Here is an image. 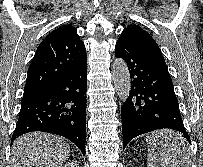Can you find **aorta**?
<instances>
[{"label":"aorta","mask_w":203,"mask_h":167,"mask_svg":"<svg viewBox=\"0 0 203 167\" xmlns=\"http://www.w3.org/2000/svg\"><path fill=\"white\" fill-rule=\"evenodd\" d=\"M112 80L119 98L125 101L131 89L128 66L122 58L115 59L112 65Z\"/></svg>","instance_id":"obj_1"}]
</instances>
